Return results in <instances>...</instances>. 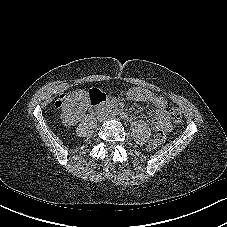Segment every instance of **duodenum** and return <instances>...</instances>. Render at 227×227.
Wrapping results in <instances>:
<instances>
[{
	"label": "duodenum",
	"mask_w": 227,
	"mask_h": 227,
	"mask_svg": "<svg viewBox=\"0 0 227 227\" xmlns=\"http://www.w3.org/2000/svg\"><path fill=\"white\" fill-rule=\"evenodd\" d=\"M89 98L90 103L93 107L108 104L112 107H115L114 109L115 114L121 115V117L125 119H133V115L126 113L125 111H123L122 107L117 106L116 101L110 97H107L102 89L99 88L93 89L90 92Z\"/></svg>",
	"instance_id": "1"
}]
</instances>
